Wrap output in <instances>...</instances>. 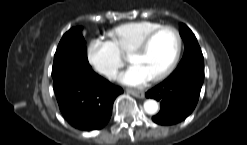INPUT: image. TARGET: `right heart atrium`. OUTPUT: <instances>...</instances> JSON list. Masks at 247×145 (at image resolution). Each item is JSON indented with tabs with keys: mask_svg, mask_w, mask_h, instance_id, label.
Wrapping results in <instances>:
<instances>
[{
	"mask_svg": "<svg viewBox=\"0 0 247 145\" xmlns=\"http://www.w3.org/2000/svg\"><path fill=\"white\" fill-rule=\"evenodd\" d=\"M87 58L90 64L102 75L112 77L123 65V57L111 41L94 38L88 46Z\"/></svg>",
	"mask_w": 247,
	"mask_h": 145,
	"instance_id": "obj_1",
	"label": "right heart atrium"
}]
</instances>
